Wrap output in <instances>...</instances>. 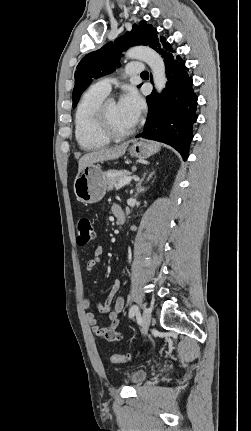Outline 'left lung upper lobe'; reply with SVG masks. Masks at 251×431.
<instances>
[{
    "mask_svg": "<svg viewBox=\"0 0 251 431\" xmlns=\"http://www.w3.org/2000/svg\"><path fill=\"white\" fill-rule=\"evenodd\" d=\"M156 29L146 21L134 25L131 32L119 37L113 43H107L97 51L82 58L75 71V86L73 89V107L75 108L81 94L92 82L106 73L113 72L119 66L121 53L131 45H149L151 48L158 40Z\"/></svg>",
    "mask_w": 251,
    "mask_h": 431,
    "instance_id": "5c2ea615",
    "label": "left lung upper lobe"
}]
</instances>
